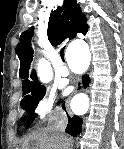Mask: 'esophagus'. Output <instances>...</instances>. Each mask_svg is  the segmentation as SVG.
Here are the masks:
<instances>
[{"label": "esophagus", "mask_w": 124, "mask_h": 149, "mask_svg": "<svg viewBox=\"0 0 124 149\" xmlns=\"http://www.w3.org/2000/svg\"><path fill=\"white\" fill-rule=\"evenodd\" d=\"M81 89H82V83H81V81H78L76 84V90L81 91Z\"/></svg>", "instance_id": "34e87169"}]
</instances>
